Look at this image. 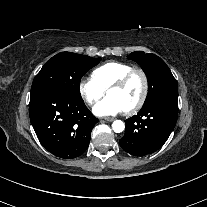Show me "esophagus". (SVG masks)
<instances>
[{
    "mask_svg": "<svg viewBox=\"0 0 207 207\" xmlns=\"http://www.w3.org/2000/svg\"><path fill=\"white\" fill-rule=\"evenodd\" d=\"M101 119H104L105 121H108V122H112V121L115 120L114 117H103V118H101Z\"/></svg>",
    "mask_w": 207,
    "mask_h": 207,
    "instance_id": "34e87169",
    "label": "esophagus"
}]
</instances>
